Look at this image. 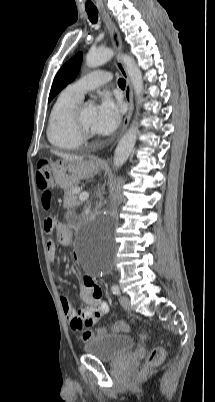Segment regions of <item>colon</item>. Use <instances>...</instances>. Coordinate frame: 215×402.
<instances>
[{
    "label": "colon",
    "mask_w": 215,
    "mask_h": 402,
    "mask_svg": "<svg viewBox=\"0 0 215 402\" xmlns=\"http://www.w3.org/2000/svg\"><path fill=\"white\" fill-rule=\"evenodd\" d=\"M54 163L53 156H40L39 161L37 163L36 169V183L38 189L42 192V200L43 204L46 208L50 206L51 203V189L53 188V177H52V166ZM55 220L53 218H46L44 221V228L46 230H51L54 227ZM113 331L115 332H126L128 331V325L119 321L116 322L113 327ZM104 329H100L96 332L87 330L83 333L82 337L84 341H88L97 334L104 333ZM165 357V351L161 347H156L150 351L146 358V365L148 367L157 366L160 364Z\"/></svg>",
    "instance_id": "colon-1"
}]
</instances>
